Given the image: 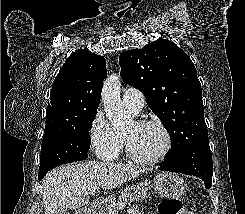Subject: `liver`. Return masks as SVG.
<instances>
[{
    "instance_id": "6515ba94",
    "label": "liver",
    "mask_w": 245,
    "mask_h": 214,
    "mask_svg": "<svg viewBox=\"0 0 245 214\" xmlns=\"http://www.w3.org/2000/svg\"><path fill=\"white\" fill-rule=\"evenodd\" d=\"M145 169L130 165L88 161L68 164L50 171L43 180L45 214L78 209L89 203L91 187L115 189Z\"/></svg>"
}]
</instances>
